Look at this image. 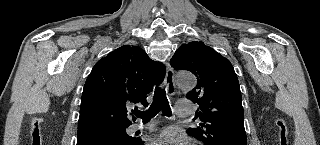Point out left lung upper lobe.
<instances>
[{
    "instance_id": "obj_1",
    "label": "left lung upper lobe",
    "mask_w": 320,
    "mask_h": 145,
    "mask_svg": "<svg viewBox=\"0 0 320 145\" xmlns=\"http://www.w3.org/2000/svg\"><path fill=\"white\" fill-rule=\"evenodd\" d=\"M170 64L197 78V85L187 98L199 105L201 111L196 116L202 123L187 133L205 145H222L229 139L247 143L241 91L229 60L203 42L193 41L180 46Z\"/></svg>"
}]
</instances>
